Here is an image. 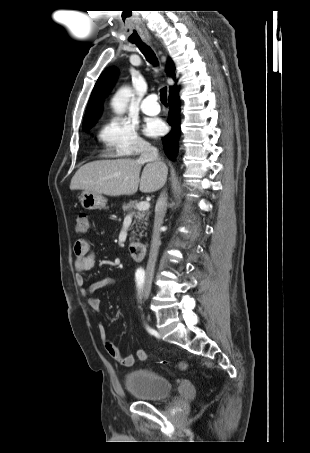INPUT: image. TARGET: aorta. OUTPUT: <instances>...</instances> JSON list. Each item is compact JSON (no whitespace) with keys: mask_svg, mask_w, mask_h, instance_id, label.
Instances as JSON below:
<instances>
[{"mask_svg":"<svg viewBox=\"0 0 310 453\" xmlns=\"http://www.w3.org/2000/svg\"><path fill=\"white\" fill-rule=\"evenodd\" d=\"M132 90L129 87H123L114 95L111 105L117 114H123L126 110Z\"/></svg>","mask_w":310,"mask_h":453,"instance_id":"762f6f07","label":"aorta"}]
</instances>
